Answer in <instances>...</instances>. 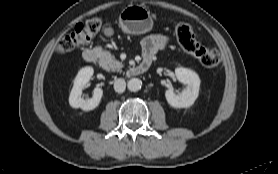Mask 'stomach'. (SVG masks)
Masks as SVG:
<instances>
[{
    "instance_id": "1",
    "label": "stomach",
    "mask_w": 278,
    "mask_h": 174,
    "mask_svg": "<svg viewBox=\"0 0 278 174\" xmlns=\"http://www.w3.org/2000/svg\"><path fill=\"white\" fill-rule=\"evenodd\" d=\"M119 24L124 33L140 35L149 32L153 27L150 12L140 5H129L119 15ZM106 35L111 36V28L105 30Z\"/></svg>"
}]
</instances>
